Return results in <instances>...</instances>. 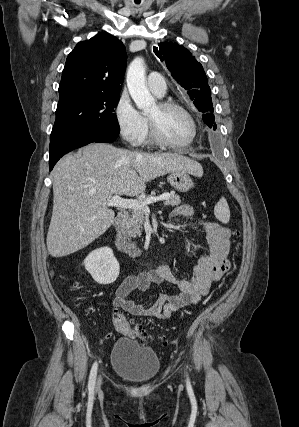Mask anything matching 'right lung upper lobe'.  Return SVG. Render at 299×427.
<instances>
[{
    "instance_id": "cb5924a9",
    "label": "right lung upper lobe",
    "mask_w": 299,
    "mask_h": 427,
    "mask_svg": "<svg viewBox=\"0 0 299 427\" xmlns=\"http://www.w3.org/2000/svg\"><path fill=\"white\" fill-rule=\"evenodd\" d=\"M126 58L123 43L112 35L99 34L79 42L62 71L60 99L85 92L119 93Z\"/></svg>"
}]
</instances>
